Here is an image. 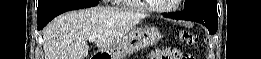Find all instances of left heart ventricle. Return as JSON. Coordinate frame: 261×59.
Wrapping results in <instances>:
<instances>
[{
    "instance_id": "left-heart-ventricle-1",
    "label": "left heart ventricle",
    "mask_w": 261,
    "mask_h": 59,
    "mask_svg": "<svg viewBox=\"0 0 261 59\" xmlns=\"http://www.w3.org/2000/svg\"><path fill=\"white\" fill-rule=\"evenodd\" d=\"M176 0H154L151 1V3L155 6H160V7H170L174 5Z\"/></svg>"
}]
</instances>
